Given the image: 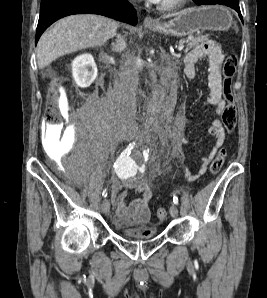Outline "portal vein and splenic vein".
<instances>
[{"label": "portal vein and splenic vein", "instance_id": "obj_1", "mask_svg": "<svg viewBox=\"0 0 267 298\" xmlns=\"http://www.w3.org/2000/svg\"><path fill=\"white\" fill-rule=\"evenodd\" d=\"M183 48H184V45L182 44V45H180V46L178 47V50H179V51H182Z\"/></svg>", "mask_w": 267, "mask_h": 298}]
</instances>
